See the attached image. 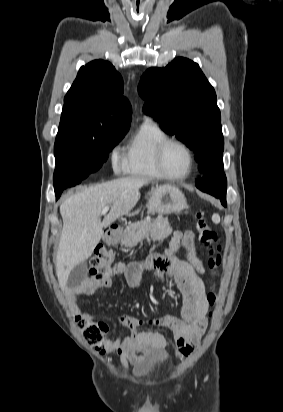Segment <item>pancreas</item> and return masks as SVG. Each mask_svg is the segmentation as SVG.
<instances>
[{"label":"pancreas","instance_id":"pancreas-1","mask_svg":"<svg viewBox=\"0 0 283 412\" xmlns=\"http://www.w3.org/2000/svg\"><path fill=\"white\" fill-rule=\"evenodd\" d=\"M172 231L167 218H146L126 227L123 232L122 243L131 248L148 237L154 240L166 238Z\"/></svg>","mask_w":283,"mask_h":412}]
</instances>
